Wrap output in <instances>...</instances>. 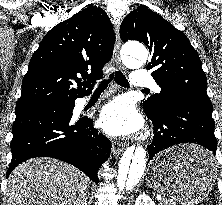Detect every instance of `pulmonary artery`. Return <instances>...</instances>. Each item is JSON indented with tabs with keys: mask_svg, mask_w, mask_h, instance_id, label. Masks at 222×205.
Instances as JSON below:
<instances>
[{
	"mask_svg": "<svg viewBox=\"0 0 222 205\" xmlns=\"http://www.w3.org/2000/svg\"><path fill=\"white\" fill-rule=\"evenodd\" d=\"M131 84L139 89H157L153 77L143 70H136L131 77Z\"/></svg>",
	"mask_w": 222,
	"mask_h": 205,
	"instance_id": "1",
	"label": "pulmonary artery"
}]
</instances>
